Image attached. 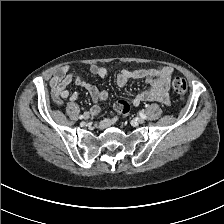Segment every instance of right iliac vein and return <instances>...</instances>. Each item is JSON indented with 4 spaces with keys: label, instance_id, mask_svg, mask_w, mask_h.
I'll use <instances>...</instances> for the list:
<instances>
[{
    "label": "right iliac vein",
    "instance_id": "63e3f726",
    "mask_svg": "<svg viewBox=\"0 0 224 224\" xmlns=\"http://www.w3.org/2000/svg\"><path fill=\"white\" fill-rule=\"evenodd\" d=\"M84 119H89V114L87 112L84 114Z\"/></svg>",
    "mask_w": 224,
    "mask_h": 224
}]
</instances>
